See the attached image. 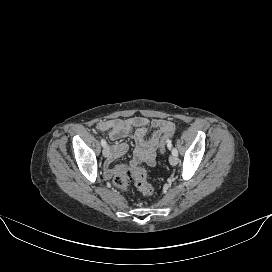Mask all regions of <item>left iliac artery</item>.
<instances>
[{"label":"left iliac artery","mask_w":272,"mask_h":272,"mask_svg":"<svg viewBox=\"0 0 272 272\" xmlns=\"http://www.w3.org/2000/svg\"><path fill=\"white\" fill-rule=\"evenodd\" d=\"M169 147H171V145H169ZM172 154L178 156V151L176 148H172Z\"/></svg>","instance_id":"obj_1"}]
</instances>
